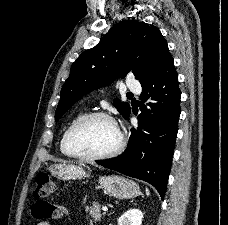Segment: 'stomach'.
<instances>
[{
	"mask_svg": "<svg viewBox=\"0 0 228 225\" xmlns=\"http://www.w3.org/2000/svg\"><path fill=\"white\" fill-rule=\"evenodd\" d=\"M48 171L52 177L56 179H84L87 173L84 165H49ZM100 189H103L109 197H116V199H133L140 195V189L134 181H129L125 177H118V175H109V177H99L98 181Z\"/></svg>",
	"mask_w": 228,
	"mask_h": 225,
	"instance_id": "1",
	"label": "stomach"
}]
</instances>
